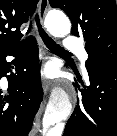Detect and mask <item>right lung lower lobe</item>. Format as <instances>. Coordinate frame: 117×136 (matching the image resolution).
I'll use <instances>...</instances> for the list:
<instances>
[{
    "mask_svg": "<svg viewBox=\"0 0 117 136\" xmlns=\"http://www.w3.org/2000/svg\"><path fill=\"white\" fill-rule=\"evenodd\" d=\"M36 53V40L31 37L24 45L0 54V79L8 80V85L0 84V136H28L31 130L43 97ZM7 56L15 60L7 62Z\"/></svg>",
    "mask_w": 117,
    "mask_h": 136,
    "instance_id": "obj_1",
    "label": "right lung lower lobe"
}]
</instances>
